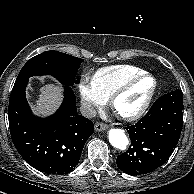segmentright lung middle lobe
<instances>
[{"label":"right lung middle lobe","mask_w":194,"mask_h":194,"mask_svg":"<svg viewBox=\"0 0 194 194\" xmlns=\"http://www.w3.org/2000/svg\"><path fill=\"white\" fill-rule=\"evenodd\" d=\"M83 59L58 51H45L26 62L16 80L31 76L52 75L61 83L71 86Z\"/></svg>","instance_id":"1"}]
</instances>
